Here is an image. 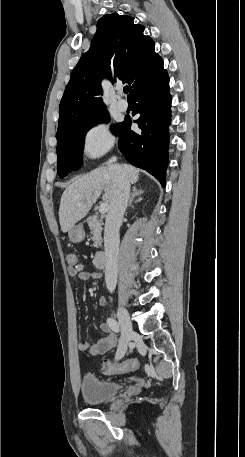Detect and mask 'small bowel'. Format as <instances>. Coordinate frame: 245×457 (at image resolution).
<instances>
[{
  "instance_id": "1",
  "label": "small bowel",
  "mask_w": 245,
  "mask_h": 457,
  "mask_svg": "<svg viewBox=\"0 0 245 457\" xmlns=\"http://www.w3.org/2000/svg\"><path fill=\"white\" fill-rule=\"evenodd\" d=\"M68 273L71 277H77L81 280H95L100 278V274L98 272L83 270L80 266L77 268L69 267ZM106 302L107 298L105 296H101L99 298V304L101 306L105 305ZM110 329L111 328L108 324H101L100 330L105 334V336L99 339L95 344H90L84 338H80L78 341V348L91 356L102 355L113 350L117 345V336Z\"/></svg>"
}]
</instances>
